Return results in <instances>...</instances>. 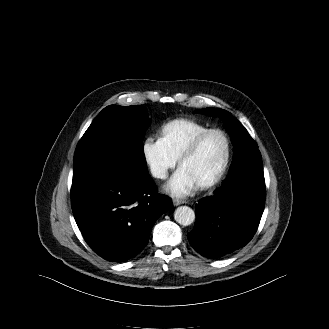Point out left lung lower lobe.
<instances>
[{
	"label": "left lung lower lobe",
	"mask_w": 329,
	"mask_h": 329,
	"mask_svg": "<svg viewBox=\"0 0 329 329\" xmlns=\"http://www.w3.org/2000/svg\"><path fill=\"white\" fill-rule=\"evenodd\" d=\"M219 190L218 197L196 205V222L187 235L190 245L211 259L244 247L256 232L265 205L262 163L236 161Z\"/></svg>",
	"instance_id": "left-lung-lower-lobe-1"
}]
</instances>
